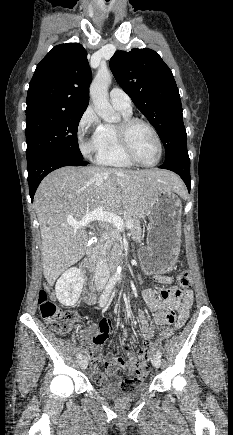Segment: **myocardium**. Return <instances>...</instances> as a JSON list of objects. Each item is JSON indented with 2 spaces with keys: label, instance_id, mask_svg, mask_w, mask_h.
Listing matches in <instances>:
<instances>
[{
  "label": "myocardium",
  "instance_id": "1",
  "mask_svg": "<svg viewBox=\"0 0 233 435\" xmlns=\"http://www.w3.org/2000/svg\"><path fill=\"white\" fill-rule=\"evenodd\" d=\"M136 124H142V125L146 126L150 130V132L152 133V135L156 141L157 149H158V157H157V160L151 164H146V163L141 162L137 158V156L135 155L133 148L131 146L130 131ZM116 132H117L118 140H119V143H120V146H121V149H122L124 155L134 165L144 167V168H152V167H155L156 165H158V163L160 162V160L162 158L163 148H162L160 136H159L157 130L155 129V127L150 122H148L147 120H144L142 118H138V117H124L116 125Z\"/></svg>",
  "mask_w": 233,
  "mask_h": 435
}]
</instances>
